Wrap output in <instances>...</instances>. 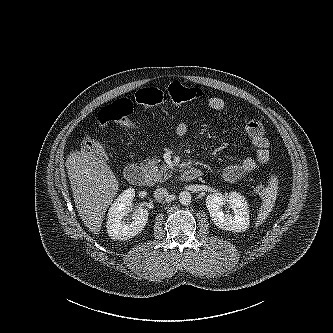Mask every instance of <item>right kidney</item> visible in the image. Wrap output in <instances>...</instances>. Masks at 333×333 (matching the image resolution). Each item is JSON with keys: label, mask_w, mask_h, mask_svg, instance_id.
I'll list each match as a JSON object with an SVG mask.
<instances>
[{"label": "right kidney", "mask_w": 333, "mask_h": 333, "mask_svg": "<svg viewBox=\"0 0 333 333\" xmlns=\"http://www.w3.org/2000/svg\"><path fill=\"white\" fill-rule=\"evenodd\" d=\"M135 197L133 188L123 191L113 202L108 211L107 232L113 240H127L139 234L148 220V211L138 208L134 212L133 221L125 223L123 218L131 211L132 201Z\"/></svg>", "instance_id": "1"}]
</instances>
